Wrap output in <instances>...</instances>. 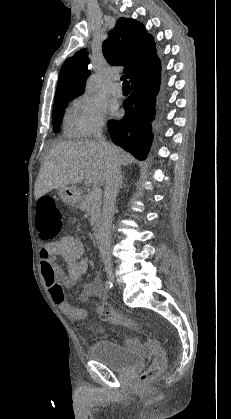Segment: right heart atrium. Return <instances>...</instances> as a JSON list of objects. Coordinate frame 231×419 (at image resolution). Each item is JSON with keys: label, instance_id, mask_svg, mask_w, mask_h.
<instances>
[{"label": "right heart atrium", "instance_id": "right-heart-atrium-1", "mask_svg": "<svg viewBox=\"0 0 231 419\" xmlns=\"http://www.w3.org/2000/svg\"><path fill=\"white\" fill-rule=\"evenodd\" d=\"M73 134L88 139L100 133L105 125L103 105L90 95L76 97L68 114Z\"/></svg>", "mask_w": 231, "mask_h": 419}]
</instances>
